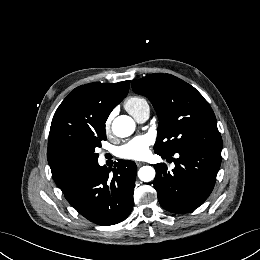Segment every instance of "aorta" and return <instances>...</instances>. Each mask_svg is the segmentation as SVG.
<instances>
[{"label":"aorta","mask_w":260,"mask_h":260,"mask_svg":"<svg viewBox=\"0 0 260 260\" xmlns=\"http://www.w3.org/2000/svg\"><path fill=\"white\" fill-rule=\"evenodd\" d=\"M134 130L135 122L127 115L116 117L112 123V132L120 138L130 136ZM138 177L143 182H150L155 178V170L151 166H143L138 171Z\"/></svg>","instance_id":"762f6f07"}]
</instances>
